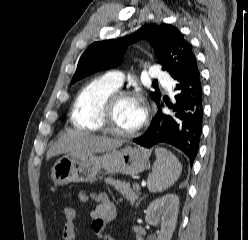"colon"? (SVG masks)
Instances as JSON below:
<instances>
[{
  "label": "colon",
  "mask_w": 248,
  "mask_h": 240,
  "mask_svg": "<svg viewBox=\"0 0 248 240\" xmlns=\"http://www.w3.org/2000/svg\"><path fill=\"white\" fill-rule=\"evenodd\" d=\"M77 213H78V209L76 206L67 205L63 208V216L65 221L74 219Z\"/></svg>",
  "instance_id": "1"
}]
</instances>
